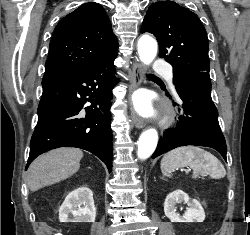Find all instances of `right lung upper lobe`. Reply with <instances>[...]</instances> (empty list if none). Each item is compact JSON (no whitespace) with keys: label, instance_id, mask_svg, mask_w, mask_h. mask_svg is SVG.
<instances>
[{"label":"right lung upper lobe","instance_id":"obj_1","mask_svg":"<svg viewBox=\"0 0 250 235\" xmlns=\"http://www.w3.org/2000/svg\"><path fill=\"white\" fill-rule=\"evenodd\" d=\"M117 54L118 42L103 7L85 3L55 27L43 79L77 73Z\"/></svg>","mask_w":250,"mask_h":235}]
</instances>
